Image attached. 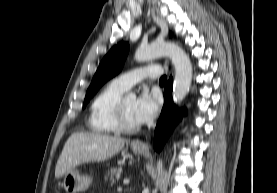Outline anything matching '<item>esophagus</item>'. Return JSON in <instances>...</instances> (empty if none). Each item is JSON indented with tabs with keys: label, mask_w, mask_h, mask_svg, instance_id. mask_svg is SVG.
Wrapping results in <instances>:
<instances>
[{
	"label": "esophagus",
	"mask_w": 277,
	"mask_h": 193,
	"mask_svg": "<svg viewBox=\"0 0 277 193\" xmlns=\"http://www.w3.org/2000/svg\"><path fill=\"white\" fill-rule=\"evenodd\" d=\"M132 145L137 146V147H141V148L145 147V145L139 140L133 141Z\"/></svg>",
	"instance_id": "obj_1"
}]
</instances>
